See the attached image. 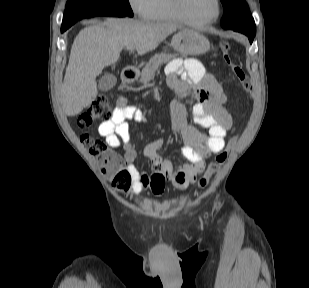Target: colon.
Returning a JSON list of instances; mask_svg holds the SVG:
<instances>
[{"mask_svg": "<svg viewBox=\"0 0 309 288\" xmlns=\"http://www.w3.org/2000/svg\"><path fill=\"white\" fill-rule=\"evenodd\" d=\"M221 50L233 75L240 83L244 92L249 96L253 89L252 81L246 73L243 65L233 59L231 47L228 43H222ZM112 114L113 107L109 98L105 94H100L80 114L78 118V126L81 128L90 127L96 121L110 118ZM81 141L91 155L98 160L101 172L109 178L115 189L122 191L131 186V174L124 167L125 162L119 154L110 150L102 140L88 134L82 135ZM235 143L236 136H233L228 145L216 154L214 160L208 164L206 171L199 180V188L203 189L207 186L211 174L225 163Z\"/></svg>", "mask_w": 309, "mask_h": 288, "instance_id": "colon-1", "label": "colon"}]
</instances>
